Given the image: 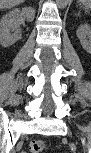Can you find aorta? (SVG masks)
I'll return each mask as SVG.
<instances>
[{
  "mask_svg": "<svg viewBox=\"0 0 91 153\" xmlns=\"http://www.w3.org/2000/svg\"><path fill=\"white\" fill-rule=\"evenodd\" d=\"M57 3H58V6L63 9L67 6L68 0H57Z\"/></svg>",
  "mask_w": 91,
  "mask_h": 153,
  "instance_id": "762f6f07",
  "label": "aorta"
}]
</instances>
